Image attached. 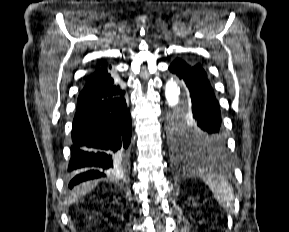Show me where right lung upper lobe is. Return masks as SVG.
<instances>
[{
	"mask_svg": "<svg viewBox=\"0 0 289 232\" xmlns=\"http://www.w3.org/2000/svg\"><path fill=\"white\" fill-rule=\"evenodd\" d=\"M111 66L102 62L87 79L83 90L78 97V104H87L104 99H109L123 92L118 81L107 71Z\"/></svg>",
	"mask_w": 289,
	"mask_h": 232,
	"instance_id": "1",
	"label": "right lung upper lobe"
}]
</instances>
